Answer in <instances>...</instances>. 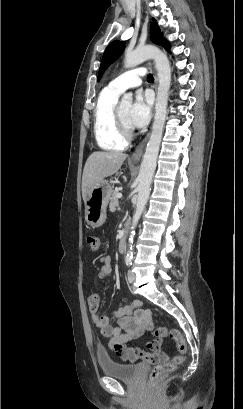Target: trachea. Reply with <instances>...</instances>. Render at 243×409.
Instances as JSON below:
<instances>
[{
	"label": "trachea",
	"instance_id": "obj_1",
	"mask_svg": "<svg viewBox=\"0 0 243 409\" xmlns=\"http://www.w3.org/2000/svg\"><path fill=\"white\" fill-rule=\"evenodd\" d=\"M147 80L148 81H154V78H153L152 74L147 75Z\"/></svg>",
	"mask_w": 243,
	"mask_h": 409
}]
</instances>
